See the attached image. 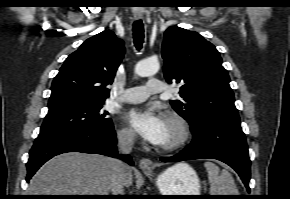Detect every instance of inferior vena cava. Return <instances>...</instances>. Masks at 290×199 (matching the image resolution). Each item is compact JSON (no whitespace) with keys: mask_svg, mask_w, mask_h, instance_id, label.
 <instances>
[{"mask_svg":"<svg viewBox=\"0 0 290 199\" xmlns=\"http://www.w3.org/2000/svg\"><path fill=\"white\" fill-rule=\"evenodd\" d=\"M135 133L132 130L121 131L118 134V150L120 154H130L134 145ZM114 172L111 180V195H122L124 175L127 169L125 163L113 159Z\"/></svg>","mask_w":290,"mask_h":199,"instance_id":"obj_1","label":"inferior vena cava"}]
</instances>
